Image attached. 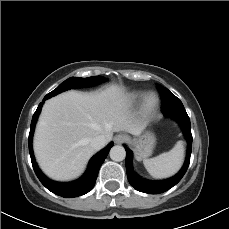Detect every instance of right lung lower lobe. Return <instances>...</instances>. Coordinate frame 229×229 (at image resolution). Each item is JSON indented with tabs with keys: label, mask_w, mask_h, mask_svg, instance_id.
<instances>
[{
	"label": "right lung lower lobe",
	"mask_w": 229,
	"mask_h": 229,
	"mask_svg": "<svg viewBox=\"0 0 229 229\" xmlns=\"http://www.w3.org/2000/svg\"><path fill=\"white\" fill-rule=\"evenodd\" d=\"M48 99L47 97H44L43 102H41L34 113L32 117L31 127H30V134H29V152L30 157L32 161L33 169L40 180V182L52 193H55L59 196L65 197V198H71V197H77L84 195L92 190L97 176L99 169L104 162L105 158L107 157L110 148L113 146V143L111 142L106 148H104L102 151L94 155L90 162L89 166L85 172V174L78 180L70 182V183H60V182H54L50 179H48L39 169L34 155H33V149H32V137L33 132L35 128V124L37 121V118L39 116V113L41 111L42 105L44 101Z\"/></svg>",
	"instance_id": "1"
}]
</instances>
